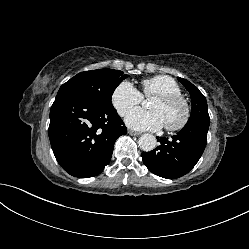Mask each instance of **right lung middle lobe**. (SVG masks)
<instances>
[{
    "mask_svg": "<svg viewBox=\"0 0 249 249\" xmlns=\"http://www.w3.org/2000/svg\"><path fill=\"white\" fill-rule=\"evenodd\" d=\"M128 75L120 70L97 69L84 71L64 83L58 92H73L97 105L113 108L111 98L115 88Z\"/></svg>",
    "mask_w": 249,
    "mask_h": 249,
    "instance_id": "obj_1",
    "label": "right lung middle lobe"
}]
</instances>
